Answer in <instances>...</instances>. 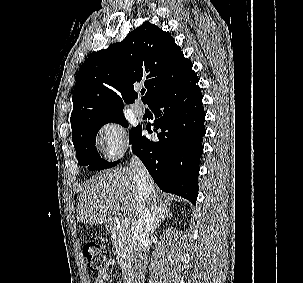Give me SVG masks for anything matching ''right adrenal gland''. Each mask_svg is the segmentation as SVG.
I'll return each mask as SVG.
<instances>
[{"label":"right adrenal gland","mask_w":303,"mask_h":283,"mask_svg":"<svg viewBox=\"0 0 303 283\" xmlns=\"http://www.w3.org/2000/svg\"><path fill=\"white\" fill-rule=\"evenodd\" d=\"M172 217H173V214L170 211V209L159 208L158 212H157L156 220H155L154 230H156L160 226L161 221H163L165 219H171Z\"/></svg>","instance_id":"right-adrenal-gland-1"}]
</instances>
